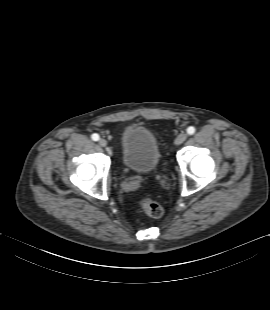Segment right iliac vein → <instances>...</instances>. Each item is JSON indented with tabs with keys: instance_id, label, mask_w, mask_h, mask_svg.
I'll return each mask as SVG.
<instances>
[{
	"instance_id": "right-iliac-vein-1",
	"label": "right iliac vein",
	"mask_w": 270,
	"mask_h": 310,
	"mask_svg": "<svg viewBox=\"0 0 270 310\" xmlns=\"http://www.w3.org/2000/svg\"><path fill=\"white\" fill-rule=\"evenodd\" d=\"M99 145H100L101 147H105V146H107V141H106L105 139L101 138V139L99 140Z\"/></svg>"
}]
</instances>
